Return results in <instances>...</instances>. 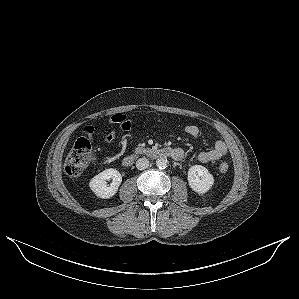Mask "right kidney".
<instances>
[{
    "mask_svg": "<svg viewBox=\"0 0 299 299\" xmlns=\"http://www.w3.org/2000/svg\"><path fill=\"white\" fill-rule=\"evenodd\" d=\"M112 180L110 185H107L106 180ZM122 182V176L116 169L110 168L100 172L94 176L89 182L90 189L96 196L107 199L114 196Z\"/></svg>",
    "mask_w": 299,
    "mask_h": 299,
    "instance_id": "ca27d5eb",
    "label": "right kidney"
}]
</instances>
